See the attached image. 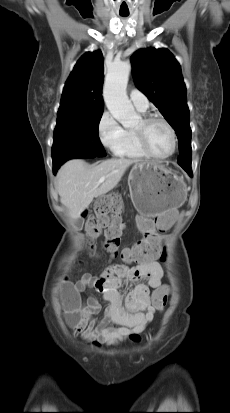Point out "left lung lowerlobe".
Segmentation results:
<instances>
[{
  "instance_id": "left-lung-lower-lobe-1",
  "label": "left lung lower lobe",
  "mask_w": 230,
  "mask_h": 413,
  "mask_svg": "<svg viewBox=\"0 0 230 413\" xmlns=\"http://www.w3.org/2000/svg\"><path fill=\"white\" fill-rule=\"evenodd\" d=\"M183 169H184L190 176H192L191 167H183Z\"/></svg>"
}]
</instances>
